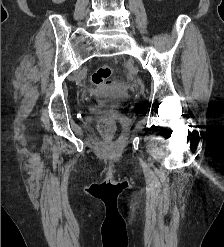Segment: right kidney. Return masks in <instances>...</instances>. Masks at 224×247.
<instances>
[{"instance_id":"1","label":"right kidney","mask_w":224,"mask_h":247,"mask_svg":"<svg viewBox=\"0 0 224 247\" xmlns=\"http://www.w3.org/2000/svg\"><path fill=\"white\" fill-rule=\"evenodd\" d=\"M54 4H62V2H65V0H52Z\"/></svg>"}]
</instances>
